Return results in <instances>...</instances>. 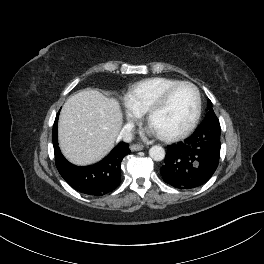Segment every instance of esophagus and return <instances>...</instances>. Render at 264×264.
Listing matches in <instances>:
<instances>
[{
    "mask_svg": "<svg viewBox=\"0 0 264 264\" xmlns=\"http://www.w3.org/2000/svg\"><path fill=\"white\" fill-rule=\"evenodd\" d=\"M144 146L140 144H133L130 146L131 151H140L143 150Z\"/></svg>",
    "mask_w": 264,
    "mask_h": 264,
    "instance_id": "1",
    "label": "esophagus"
}]
</instances>
